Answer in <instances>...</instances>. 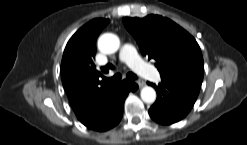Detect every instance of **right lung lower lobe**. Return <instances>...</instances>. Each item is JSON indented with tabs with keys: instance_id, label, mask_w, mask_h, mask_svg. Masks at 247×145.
<instances>
[{
	"instance_id": "obj_1",
	"label": "right lung lower lobe",
	"mask_w": 247,
	"mask_h": 145,
	"mask_svg": "<svg viewBox=\"0 0 247 145\" xmlns=\"http://www.w3.org/2000/svg\"><path fill=\"white\" fill-rule=\"evenodd\" d=\"M137 89L136 83L123 80L101 104L79 119L80 122L87 128L100 132L113 128L122 118L123 105L128 93Z\"/></svg>"
}]
</instances>
